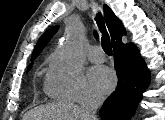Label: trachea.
Masks as SVG:
<instances>
[{
    "label": "trachea",
    "instance_id": "trachea-1",
    "mask_svg": "<svg viewBox=\"0 0 165 120\" xmlns=\"http://www.w3.org/2000/svg\"><path fill=\"white\" fill-rule=\"evenodd\" d=\"M95 20L97 22L99 30L102 33V38H101L102 48H103V50L106 54H111L112 53V48H111V44H110V37L107 33L104 20H103L100 13L97 14Z\"/></svg>",
    "mask_w": 165,
    "mask_h": 120
}]
</instances>
